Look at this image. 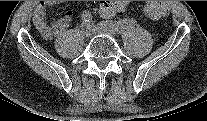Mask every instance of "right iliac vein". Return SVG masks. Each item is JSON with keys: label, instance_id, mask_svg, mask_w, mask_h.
Returning a JSON list of instances; mask_svg holds the SVG:
<instances>
[{"label": "right iliac vein", "instance_id": "obj_1", "mask_svg": "<svg viewBox=\"0 0 207 121\" xmlns=\"http://www.w3.org/2000/svg\"><path fill=\"white\" fill-rule=\"evenodd\" d=\"M81 27H82L83 35L87 38L91 37V35H92L91 25L88 23H83Z\"/></svg>", "mask_w": 207, "mask_h": 121}]
</instances>
